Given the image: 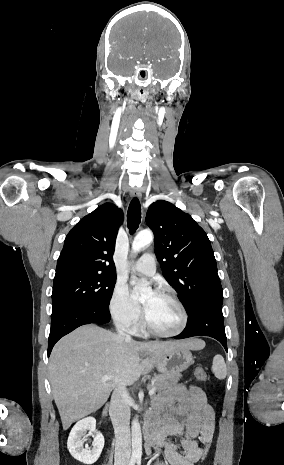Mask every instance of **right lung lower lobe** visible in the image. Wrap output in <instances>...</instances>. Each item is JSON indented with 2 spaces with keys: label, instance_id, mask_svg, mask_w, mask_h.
<instances>
[{
  "label": "right lung lower lobe",
  "instance_id": "1",
  "mask_svg": "<svg viewBox=\"0 0 284 465\" xmlns=\"http://www.w3.org/2000/svg\"><path fill=\"white\" fill-rule=\"evenodd\" d=\"M111 315L108 307L88 304H73L52 314L51 329L48 340V357L55 343L64 335L77 327L96 323L105 324L110 321Z\"/></svg>",
  "mask_w": 284,
  "mask_h": 465
}]
</instances>
